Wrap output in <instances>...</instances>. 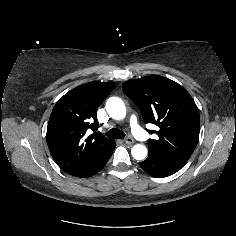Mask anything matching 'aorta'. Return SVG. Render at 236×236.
<instances>
[{
    "label": "aorta",
    "mask_w": 236,
    "mask_h": 236,
    "mask_svg": "<svg viewBox=\"0 0 236 236\" xmlns=\"http://www.w3.org/2000/svg\"><path fill=\"white\" fill-rule=\"evenodd\" d=\"M106 111L115 120H122L126 116L124 102L118 97H110L106 102ZM147 148L142 144L132 147L131 154L136 160H143L147 156Z\"/></svg>",
    "instance_id": "obj_1"
}]
</instances>
